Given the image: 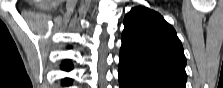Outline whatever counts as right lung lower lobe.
<instances>
[{
    "label": "right lung lower lobe",
    "instance_id": "obj_1",
    "mask_svg": "<svg viewBox=\"0 0 223 88\" xmlns=\"http://www.w3.org/2000/svg\"><path fill=\"white\" fill-rule=\"evenodd\" d=\"M64 84L65 85H70L71 84V80L70 79H65Z\"/></svg>",
    "mask_w": 223,
    "mask_h": 88
}]
</instances>
